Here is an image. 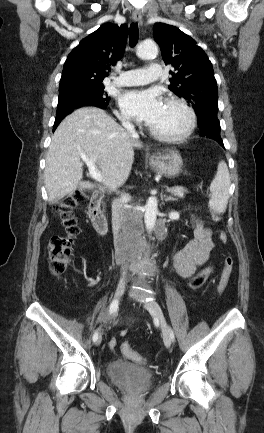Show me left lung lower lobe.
<instances>
[{
    "label": "left lung lower lobe",
    "instance_id": "left-lung-lower-lobe-1",
    "mask_svg": "<svg viewBox=\"0 0 264 433\" xmlns=\"http://www.w3.org/2000/svg\"><path fill=\"white\" fill-rule=\"evenodd\" d=\"M198 126L201 130L200 135L205 136V137H206L207 132H209V130L220 129V123H219V120L217 118V113L214 111H208V112H204L202 114H198ZM216 141L221 146H224L222 139L218 138Z\"/></svg>",
    "mask_w": 264,
    "mask_h": 433
}]
</instances>
